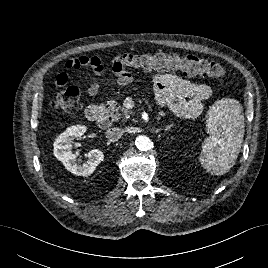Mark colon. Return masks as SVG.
Returning a JSON list of instances; mask_svg holds the SVG:
<instances>
[{
	"mask_svg": "<svg viewBox=\"0 0 268 268\" xmlns=\"http://www.w3.org/2000/svg\"><path fill=\"white\" fill-rule=\"evenodd\" d=\"M113 69L129 70H180L185 76H203L223 78L224 68L217 62L199 58L195 55H180L177 53L159 52L155 54L120 53L112 59ZM80 91L70 86L57 93L51 100L50 106L68 113L78 110Z\"/></svg>",
	"mask_w": 268,
	"mask_h": 268,
	"instance_id": "obj_1",
	"label": "colon"
}]
</instances>
